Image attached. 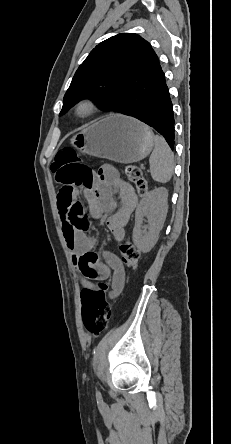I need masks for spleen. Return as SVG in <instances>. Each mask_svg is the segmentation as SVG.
Wrapping results in <instances>:
<instances>
[{"label":"spleen","mask_w":231,"mask_h":444,"mask_svg":"<svg viewBox=\"0 0 231 444\" xmlns=\"http://www.w3.org/2000/svg\"><path fill=\"white\" fill-rule=\"evenodd\" d=\"M154 150L149 158L152 178L161 183L168 182L174 171V156L166 140L161 136H154Z\"/></svg>","instance_id":"1"}]
</instances>
